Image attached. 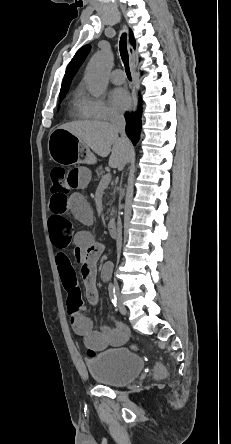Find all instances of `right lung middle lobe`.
<instances>
[{
    "label": "right lung middle lobe",
    "instance_id": "obj_1",
    "mask_svg": "<svg viewBox=\"0 0 231 444\" xmlns=\"http://www.w3.org/2000/svg\"><path fill=\"white\" fill-rule=\"evenodd\" d=\"M68 89L61 90L60 91V101L64 98L65 94L67 93Z\"/></svg>",
    "mask_w": 231,
    "mask_h": 444
}]
</instances>
